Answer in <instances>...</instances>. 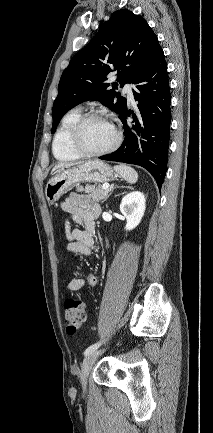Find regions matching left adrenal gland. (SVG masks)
Instances as JSON below:
<instances>
[{
	"mask_svg": "<svg viewBox=\"0 0 213 433\" xmlns=\"http://www.w3.org/2000/svg\"><path fill=\"white\" fill-rule=\"evenodd\" d=\"M114 190V188H112L111 189V191H110V194L105 198V200L104 201H106L107 200V198L111 195V193H112V191Z\"/></svg>",
	"mask_w": 213,
	"mask_h": 433,
	"instance_id": "obj_1",
	"label": "left adrenal gland"
}]
</instances>
